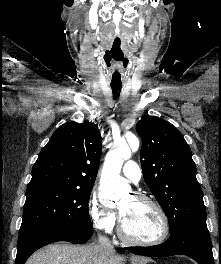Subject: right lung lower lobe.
<instances>
[{
	"instance_id": "1",
	"label": "right lung lower lobe",
	"mask_w": 221,
	"mask_h": 264,
	"mask_svg": "<svg viewBox=\"0 0 221 264\" xmlns=\"http://www.w3.org/2000/svg\"><path fill=\"white\" fill-rule=\"evenodd\" d=\"M93 228L80 229H44L26 231L18 237L15 264H24L37 249L58 241L85 244L93 236Z\"/></svg>"
}]
</instances>
